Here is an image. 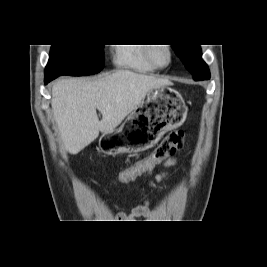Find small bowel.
<instances>
[{
	"mask_svg": "<svg viewBox=\"0 0 267 267\" xmlns=\"http://www.w3.org/2000/svg\"><path fill=\"white\" fill-rule=\"evenodd\" d=\"M175 163H176L175 158H169L166 161H164L163 166L165 168H168L174 165ZM151 173H152L151 170L145 171V174H151ZM168 175H169L168 171H163L161 173H158L155 176L154 180L150 182V186H155L156 183L165 180L168 177ZM155 216H156V213L149 208V203L147 201L143 205H140L134 208L130 213L120 212L118 214V218L120 220L138 218V217H155Z\"/></svg>",
	"mask_w": 267,
	"mask_h": 267,
	"instance_id": "c3829d8e",
	"label": "small bowel"
}]
</instances>
